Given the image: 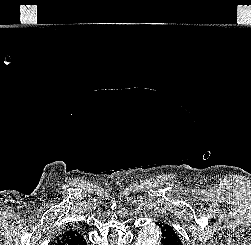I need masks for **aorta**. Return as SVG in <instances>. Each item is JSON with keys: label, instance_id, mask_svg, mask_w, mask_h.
Masks as SVG:
<instances>
[{"label": "aorta", "instance_id": "1", "mask_svg": "<svg viewBox=\"0 0 251 245\" xmlns=\"http://www.w3.org/2000/svg\"><path fill=\"white\" fill-rule=\"evenodd\" d=\"M159 229L154 223L144 226L135 242V245H159Z\"/></svg>", "mask_w": 251, "mask_h": 245}]
</instances>
